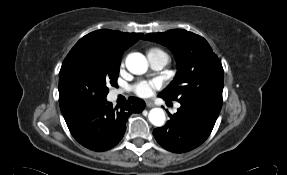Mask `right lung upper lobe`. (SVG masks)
Listing matches in <instances>:
<instances>
[{"instance_id":"cb5924a9","label":"right lung upper lobe","mask_w":287,"mask_h":175,"mask_svg":"<svg viewBox=\"0 0 287 175\" xmlns=\"http://www.w3.org/2000/svg\"><path fill=\"white\" fill-rule=\"evenodd\" d=\"M143 34L122 33L108 29L97 30L84 36L76 45L87 43L91 53L99 59H121L123 52Z\"/></svg>"}]
</instances>
